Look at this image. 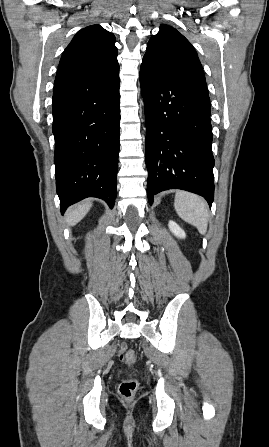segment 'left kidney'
Segmentation results:
<instances>
[{"label": "left kidney", "instance_id": "5707ae66", "mask_svg": "<svg viewBox=\"0 0 269 447\" xmlns=\"http://www.w3.org/2000/svg\"><path fill=\"white\" fill-rule=\"evenodd\" d=\"M169 229L170 231H172V233H174V235H177V237H186V233L184 231V229H182V227H180V225L176 224V222H169Z\"/></svg>", "mask_w": 269, "mask_h": 447}]
</instances>
